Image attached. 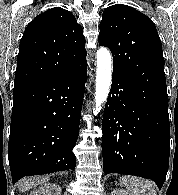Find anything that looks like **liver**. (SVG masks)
<instances>
[{
	"label": "liver",
	"mask_w": 178,
	"mask_h": 195,
	"mask_svg": "<svg viewBox=\"0 0 178 195\" xmlns=\"http://www.w3.org/2000/svg\"><path fill=\"white\" fill-rule=\"evenodd\" d=\"M48 181V178L41 177H32V178H24L19 182V190L20 192H25L35 186L44 184Z\"/></svg>",
	"instance_id": "1"
}]
</instances>
